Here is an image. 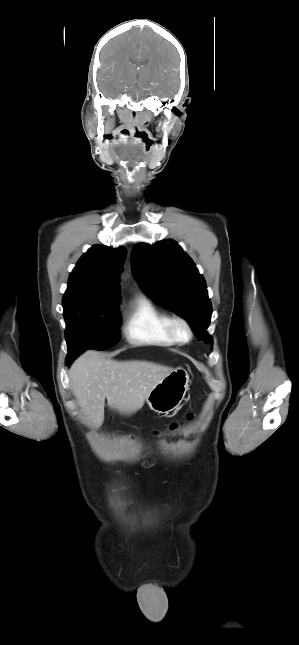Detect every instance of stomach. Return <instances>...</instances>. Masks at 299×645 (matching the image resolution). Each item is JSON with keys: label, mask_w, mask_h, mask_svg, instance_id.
I'll return each instance as SVG.
<instances>
[{"label": "stomach", "mask_w": 299, "mask_h": 645, "mask_svg": "<svg viewBox=\"0 0 299 645\" xmlns=\"http://www.w3.org/2000/svg\"><path fill=\"white\" fill-rule=\"evenodd\" d=\"M189 374L177 368L153 387L146 397L150 409L157 413L169 414L177 409L188 390Z\"/></svg>", "instance_id": "1"}]
</instances>
